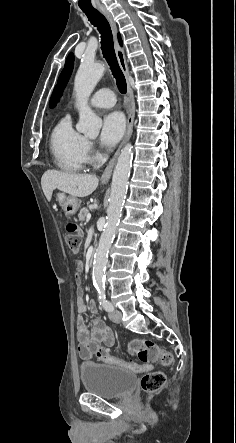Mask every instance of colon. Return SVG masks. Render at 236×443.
<instances>
[{"label": "colon", "mask_w": 236, "mask_h": 443, "mask_svg": "<svg viewBox=\"0 0 236 443\" xmlns=\"http://www.w3.org/2000/svg\"><path fill=\"white\" fill-rule=\"evenodd\" d=\"M65 242L71 253L76 254L79 251L81 237L78 226L71 221L64 225ZM79 272L75 274V278ZM97 359L114 366L130 370H148L151 365L160 361L164 366L173 364V356L169 351L161 349L155 342L148 339H133L127 344V351L130 355L136 357L141 363L139 366L133 360H124L120 357L110 355L106 347L97 346L94 348ZM166 382V375L163 371H154L147 373L141 380V387L145 392L153 393L163 387Z\"/></svg>", "instance_id": "colon-1"}]
</instances>
